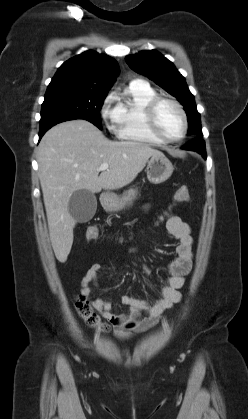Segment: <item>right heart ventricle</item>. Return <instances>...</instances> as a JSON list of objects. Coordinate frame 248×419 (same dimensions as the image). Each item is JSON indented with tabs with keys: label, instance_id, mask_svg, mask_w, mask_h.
I'll return each mask as SVG.
<instances>
[{
	"label": "right heart ventricle",
	"instance_id": "1",
	"mask_svg": "<svg viewBox=\"0 0 248 419\" xmlns=\"http://www.w3.org/2000/svg\"><path fill=\"white\" fill-rule=\"evenodd\" d=\"M156 96V91L144 82L126 87L117 103L116 132L120 139L150 145L162 143L149 133L144 119L146 104Z\"/></svg>",
	"mask_w": 248,
	"mask_h": 419
}]
</instances>
